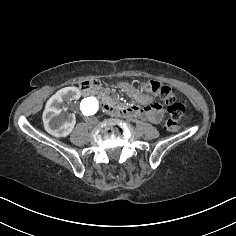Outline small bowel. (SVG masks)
Returning a JSON list of instances; mask_svg holds the SVG:
<instances>
[{
	"label": "small bowel",
	"instance_id": "c3829d8e",
	"mask_svg": "<svg viewBox=\"0 0 236 236\" xmlns=\"http://www.w3.org/2000/svg\"><path fill=\"white\" fill-rule=\"evenodd\" d=\"M138 108V116L152 123H159L162 119V109L158 104H152Z\"/></svg>",
	"mask_w": 236,
	"mask_h": 236
}]
</instances>
